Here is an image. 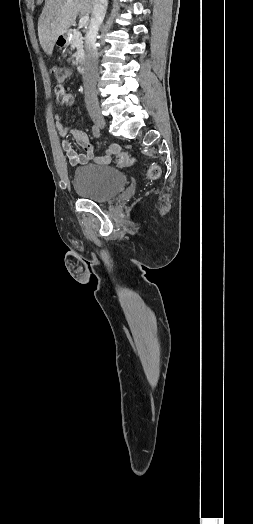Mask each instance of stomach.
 <instances>
[{"mask_svg": "<svg viewBox=\"0 0 253 524\" xmlns=\"http://www.w3.org/2000/svg\"><path fill=\"white\" fill-rule=\"evenodd\" d=\"M68 41H69L68 34H63V35H60L56 39L55 44L58 45L59 47H65L68 45Z\"/></svg>", "mask_w": 253, "mask_h": 524, "instance_id": "1", "label": "stomach"}]
</instances>
